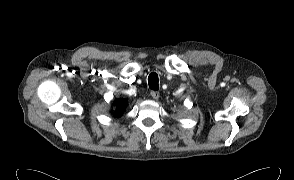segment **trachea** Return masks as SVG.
<instances>
[{
  "label": "trachea",
  "mask_w": 294,
  "mask_h": 180,
  "mask_svg": "<svg viewBox=\"0 0 294 180\" xmlns=\"http://www.w3.org/2000/svg\"><path fill=\"white\" fill-rule=\"evenodd\" d=\"M148 85L152 90H158V75L156 73H151L148 77Z\"/></svg>",
  "instance_id": "3493384b"
}]
</instances>
